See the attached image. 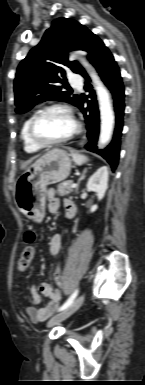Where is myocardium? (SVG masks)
Here are the masks:
<instances>
[{
	"mask_svg": "<svg viewBox=\"0 0 145 385\" xmlns=\"http://www.w3.org/2000/svg\"><path fill=\"white\" fill-rule=\"evenodd\" d=\"M53 110H61L65 113H67L73 119V121L75 123V128L68 136H66L62 139L55 140V141H48V142L43 141L36 134V125H37V122L39 121V119L45 113H47L49 111H53ZM80 131H81L80 121H79L78 117L76 116V114L74 113V111L69 106H67L65 104H52V105H48V106L43 107L42 109H40L38 112H36L33 115L32 119L30 121L29 127H28V136H29L30 141L35 146H37L39 148H49V147L58 146V145L69 142L70 140L75 138L80 133Z\"/></svg>",
	"mask_w": 145,
	"mask_h": 385,
	"instance_id": "1",
	"label": "myocardium"
}]
</instances>
